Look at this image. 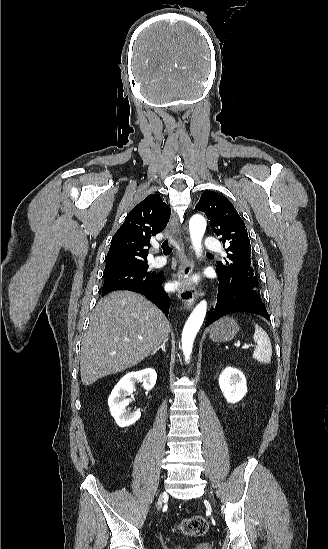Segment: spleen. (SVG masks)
Instances as JSON below:
<instances>
[{
    "instance_id": "obj_1",
    "label": "spleen",
    "mask_w": 328,
    "mask_h": 549,
    "mask_svg": "<svg viewBox=\"0 0 328 549\" xmlns=\"http://www.w3.org/2000/svg\"><path fill=\"white\" fill-rule=\"evenodd\" d=\"M254 327L253 339L257 347L253 353V359H256L258 363H265L266 365V363H270L271 361L272 345L266 331H263L259 325H254Z\"/></svg>"
}]
</instances>
